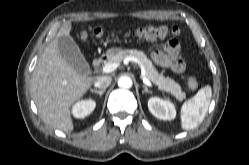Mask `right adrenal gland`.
Segmentation results:
<instances>
[{
	"mask_svg": "<svg viewBox=\"0 0 249 165\" xmlns=\"http://www.w3.org/2000/svg\"><path fill=\"white\" fill-rule=\"evenodd\" d=\"M90 91H91L92 93L99 94V96L101 97V96L105 93L106 89H101V90L91 89Z\"/></svg>",
	"mask_w": 249,
	"mask_h": 165,
	"instance_id": "2a0ac1e0",
	"label": "right adrenal gland"
}]
</instances>
